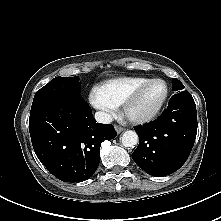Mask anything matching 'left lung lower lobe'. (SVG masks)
<instances>
[{
  "instance_id": "left-lung-lower-lobe-1",
  "label": "left lung lower lobe",
  "mask_w": 221,
  "mask_h": 221,
  "mask_svg": "<svg viewBox=\"0 0 221 221\" xmlns=\"http://www.w3.org/2000/svg\"><path fill=\"white\" fill-rule=\"evenodd\" d=\"M139 145L135 163L153 176H166L187 160L197 134L196 105L190 93L171 98L157 120L134 128Z\"/></svg>"
}]
</instances>
